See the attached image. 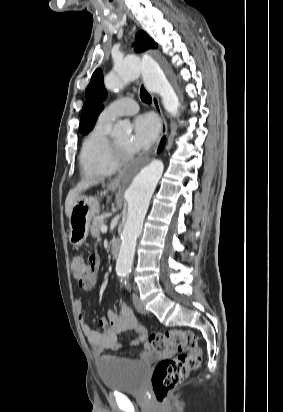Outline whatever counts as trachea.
Returning <instances> with one entry per match:
<instances>
[{"instance_id": "trachea-1", "label": "trachea", "mask_w": 283, "mask_h": 412, "mask_svg": "<svg viewBox=\"0 0 283 412\" xmlns=\"http://www.w3.org/2000/svg\"><path fill=\"white\" fill-rule=\"evenodd\" d=\"M140 98L143 102L150 104L152 99L150 94L146 91V89L144 88V86H141L140 89Z\"/></svg>"}]
</instances>
